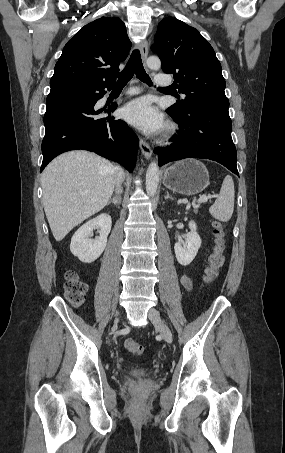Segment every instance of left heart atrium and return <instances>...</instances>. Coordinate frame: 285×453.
Returning a JSON list of instances; mask_svg holds the SVG:
<instances>
[{
  "label": "left heart atrium",
  "mask_w": 285,
  "mask_h": 453,
  "mask_svg": "<svg viewBox=\"0 0 285 453\" xmlns=\"http://www.w3.org/2000/svg\"><path fill=\"white\" fill-rule=\"evenodd\" d=\"M123 117L146 133H157L164 125L162 113L148 97L138 98L123 108Z\"/></svg>",
  "instance_id": "39dd6f15"
}]
</instances>
